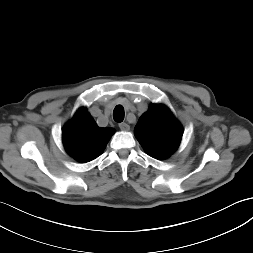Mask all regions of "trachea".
Returning <instances> with one entry per match:
<instances>
[{"label": "trachea", "mask_w": 253, "mask_h": 253, "mask_svg": "<svg viewBox=\"0 0 253 253\" xmlns=\"http://www.w3.org/2000/svg\"><path fill=\"white\" fill-rule=\"evenodd\" d=\"M113 118L116 122H122L124 120V108L121 105H117L113 111Z\"/></svg>", "instance_id": "obj_1"}]
</instances>
